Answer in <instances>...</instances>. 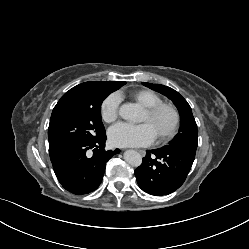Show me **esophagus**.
<instances>
[{
  "label": "esophagus",
  "instance_id": "1",
  "mask_svg": "<svg viewBox=\"0 0 249 249\" xmlns=\"http://www.w3.org/2000/svg\"><path fill=\"white\" fill-rule=\"evenodd\" d=\"M138 152H139L140 154H142V155L145 154V151H144V150H138Z\"/></svg>",
  "mask_w": 249,
  "mask_h": 249
}]
</instances>
